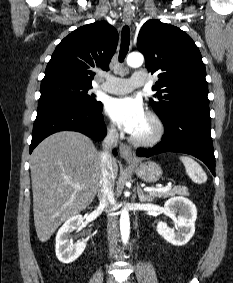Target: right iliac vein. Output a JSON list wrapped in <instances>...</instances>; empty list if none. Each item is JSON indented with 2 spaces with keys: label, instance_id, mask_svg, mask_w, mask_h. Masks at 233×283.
Returning <instances> with one entry per match:
<instances>
[{
  "label": "right iliac vein",
  "instance_id": "63e3f726",
  "mask_svg": "<svg viewBox=\"0 0 233 283\" xmlns=\"http://www.w3.org/2000/svg\"><path fill=\"white\" fill-rule=\"evenodd\" d=\"M106 283H113L112 278H108Z\"/></svg>",
  "mask_w": 233,
  "mask_h": 283
}]
</instances>
